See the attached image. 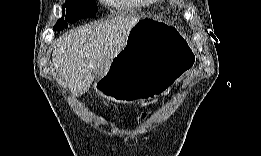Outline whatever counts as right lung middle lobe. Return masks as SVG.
Here are the masks:
<instances>
[{
    "label": "right lung middle lobe",
    "mask_w": 261,
    "mask_h": 156,
    "mask_svg": "<svg viewBox=\"0 0 261 156\" xmlns=\"http://www.w3.org/2000/svg\"><path fill=\"white\" fill-rule=\"evenodd\" d=\"M65 12L61 19L54 25L53 30H63L69 23H74L83 18L96 16L97 5L92 0H66Z\"/></svg>",
    "instance_id": "obj_1"
}]
</instances>
